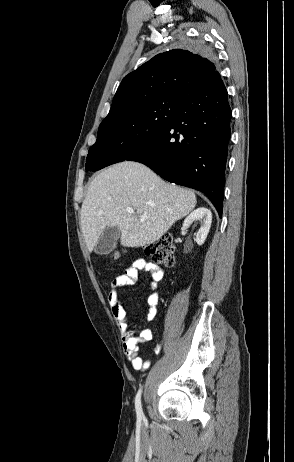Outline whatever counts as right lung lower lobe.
I'll return each mask as SVG.
<instances>
[{"mask_svg": "<svg viewBox=\"0 0 294 462\" xmlns=\"http://www.w3.org/2000/svg\"><path fill=\"white\" fill-rule=\"evenodd\" d=\"M231 109L220 78L185 98L177 114L126 160L150 167L165 180L202 191L222 216ZM100 156L86 159V170L104 168Z\"/></svg>", "mask_w": 294, "mask_h": 462, "instance_id": "98d812e1", "label": "right lung lower lobe"}]
</instances>
